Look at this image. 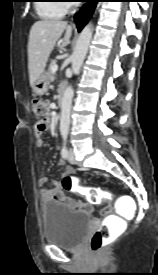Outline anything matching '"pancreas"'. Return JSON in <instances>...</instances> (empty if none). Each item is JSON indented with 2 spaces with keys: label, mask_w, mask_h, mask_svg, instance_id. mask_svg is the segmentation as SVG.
Here are the masks:
<instances>
[{
  "label": "pancreas",
  "mask_w": 158,
  "mask_h": 275,
  "mask_svg": "<svg viewBox=\"0 0 158 275\" xmlns=\"http://www.w3.org/2000/svg\"><path fill=\"white\" fill-rule=\"evenodd\" d=\"M54 65H56V61H55V60H52V61L50 62V64H49L48 71L46 72L49 81H53L54 78H55L54 73H52V67H53Z\"/></svg>",
  "instance_id": "cf45deb5"
}]
</instances>
